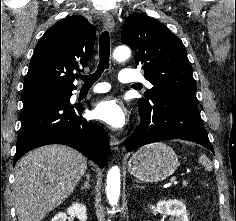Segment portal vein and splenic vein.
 Wrapping results in <instances>:
<instances>
[{
	"mask_svg": "<svg viewBox=\"0 0 236 221\" xmlns=\"http://www.w3.org/2000/svg\"><path fill=\"white\" fill-rule=\"evenodd\" d=\"M171 182L176 183V178H173Z\"/></svg>",
	"mask_w": 236,
	"mask_h": 221,
	"instance_id": "1",
	"label": "portal vein and splenic vein"
}]
</instances>
